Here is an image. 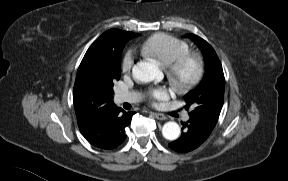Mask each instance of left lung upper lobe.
<instances>
[{
  "mask_svg": "<svg viewBox=\"0 0 288 181\" xmlns=\"http://www.w3.org/2000/svg\"><path fill=\"white\" fill-rule=\"evenodd\" d=\"M202 51L206 63V74L201 83L185 95L187 109L191 106L189 116L200 117L210 123L216 124L223 106L225 78L220 60L205 40L187 34Z\"/></svg>",
  "mask_w": 288,
  "mask_h": 181,
  "instance_id": "1",
  "label": "left lung upper lobe"
}]
</instances>
